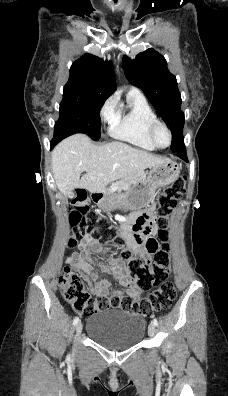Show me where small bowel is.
I'll list each match as a JSON object with an SVG mask.
<instances>
[{
  "label": "small bowel",
  "instance_id": "obj_1",
  "mask_svg": "<svg viewBox=\"0 0 228 396\" xmlns=\"http://www.w3.org/2000/svg\"><path fill=\"white\" fill-rule=\"evenodd\" d=\"M154 205H150L145 211H152ZM131 219L125 218L121 222L120 235L126 242L127 249L134 254H141L142 248L135 242L130 228ZM79 250L73 252L65 259V263L80 273L87 281L89 291L95 295L113 296L122 295L129 292L132 296L138 297L142 289L129 278L124 271V264L118 260L107 258L106 262L94 260V253L102 251L99 240L89 236L85 242L79 243ZM151 255H147L150 258ZM100 273H107L116 278L122 287L111 289V283L106 278H99Z\"/></svg>",
  "mask_w": 228,
  "mask_h": 396
}]
</instances>
